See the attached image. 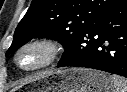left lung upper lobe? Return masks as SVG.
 Masks as SVG:
<instances>
[{
    "label": "left lung upper lobe",
    "instance_id": "obj_1",
    "mask_svg": "<svg viewBox=\"0 0 127 92\" xmlns=\"http://www.w3.org/2000/svg\"><path fill=\"white\" fill-rule=\"evenodd\" d=\"M123 0H33L18 24L6 56L33 38L60 41L66 54L77 38Z\"/></svg>",
    "mask_w": 127,
    "mask_h": 92
}]
</instances>
